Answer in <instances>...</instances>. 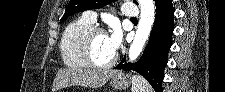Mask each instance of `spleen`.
Listing matches in <instances>:
<instances>
[{
	"mask_svg": "<svg viewBox=\"0 0 225 92\" xmlns=\"http://www.w3.org/2000/svg\"><path fill=\"white\" fill-rule=\"evenodd\" d=\"M132 92H153L149 83L140 75L132 77Z\"/></svg>",
	"mask_w": 225,
	"mask_h": 92,
	"instance_id": "1",
	"label": "spleen"
}]
</instances>
